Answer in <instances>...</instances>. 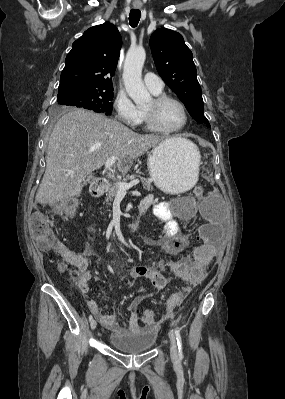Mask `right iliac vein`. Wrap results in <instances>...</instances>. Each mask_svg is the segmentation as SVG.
I'll list each match as a JSON object with an SVG mask.
<instances>
[{
  "label": "right iliac vein",
  "mask_w": 285,
  "mask_h": 399,
  "mask_svg": "<svg viewBox=\"0 0 285 399\" xmlns=\"http://www.w3.org/2000/svg\"><path fill=\"white\" fill-rule=\"evenodd\" d=\"M90 325H91V329L94 330V329L97 327V322H96V320L93 319V320L91 321Z\"/></svg>",
  "instance_id": "right-iliac-vein-1"
}]
</instances>
